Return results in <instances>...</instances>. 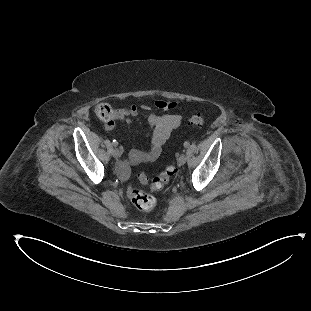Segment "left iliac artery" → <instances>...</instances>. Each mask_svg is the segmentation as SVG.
Returning a JSON list of instances; mask_svg holds the SVG:
<instances>
[{
    "label": "left iliac artery",
    "instance_id": "1",
    "mask_svg": "<svg viewBox=\"0 0 311 311\" xmlns=\"http://www.w3.org/2000/svg\"><path fill=\"white\" fill-rule=\"evenodd\" d=\"M189 145H190L189 142H185V143H184V147H186V148L189 147Z\"/></svg>",
    "mask_w": 311,
    "mask_h": 311
}]
</instances>
